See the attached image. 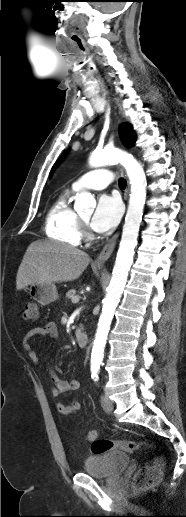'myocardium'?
I'll list each match as a JSON object with an SVG mask.
<instances>
[{
    "instance_id": "obj_1",
    "label": "myocardium",
    "mask_w": 186,
    "mask_h": 517,
    "mask_svg": "<svg viewBox=\"0 0 186 517\" xmlns=\"http://www.w3.org/2000/svg\"><path fill=\"white\" fill-rule=\"evenodd\" d=\"M83 221H84V222H86V220H85V219H83ZM87 238H88V239H91V238H92V236L88 234V235H87Z\"/></svg>"
}]
</instances>
